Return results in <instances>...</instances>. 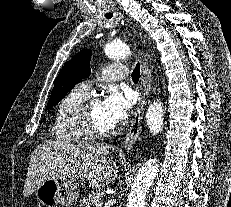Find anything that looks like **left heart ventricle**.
<instances>
[{"label": "left heart ventricle", "instance_id": "left-heart-ventricle-1", "mask_svg": "<svg viewBox=\"0 0 231 207\" xmlns=\"http://www.w3.org/2000/svg\"><path fill=\"white\" fill-rule=\"evenodd\" d=\"M92 119L94 125L100 130H107L114 127L103 114L101 103H97L92 109Z\"/></svg>", "mask_w": 231, "mask_h": 207}]
</instances>
